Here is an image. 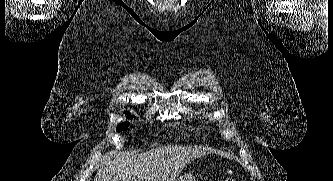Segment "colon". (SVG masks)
<instances>
[{
	"mask_svg": "<svg viewBox=\"0 0 333 181\" xmlns=\"http://www.w3.org/2000/svg\"><path fill=\"white\" fill-rule=\"evenodd\" d=\"M223 181H236L234 174L231 171L226 172V176Z\"/></svg>",
	"mask_w": 333,
	"mask_h": 181,
	"instance_id": "obj_1",
	"label": "colon"
}]
</instances>
